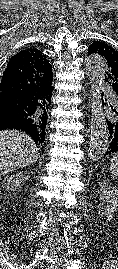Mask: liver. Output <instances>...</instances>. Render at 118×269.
I'll return each instance as SVG.
<instances>
[{"instance_id":"liver-1","label":"liver","mask_w":118,"mask_h":269,"mask_svg":"<svg viewBox=\"0 0 118 269\" xmlns=\"http://www.w3.org/2000/svg\"><path fill=\"white\" fill-rule=\"evenodd\" d=\"M38 149L27 134L17 130L0 132V175L33 165Z\"/></svg>"}]
</instances>
